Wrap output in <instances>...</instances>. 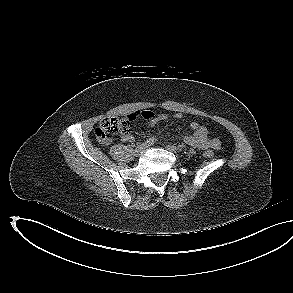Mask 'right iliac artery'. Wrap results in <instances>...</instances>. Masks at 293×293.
<instances>
[{"label":"right iliac artery","mask_w":293,"mask_h":293,"mask_svg":"<svg viewBox=\"0 0 293 293\" xmlns=\"http://www.w3.org/2000/svg\"><path fill=\"white\" fill-rule=\"evenodd\" d=\"M155 141H156V138L152 137L146 140L144 144L147 146H151L152 144H154Z\"/></svg>","instance_id":"82829eb1"}]
</instances>
